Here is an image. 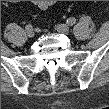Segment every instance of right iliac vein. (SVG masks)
I'll return each mask as SVG.
<instances>
[{
    "label": "right iliac vein",
    "instance_id": "1",
    "mask_svg": "<svg viewBox=\"0 0 109 109\" xmlns=\"http://www.w3.org/2000/svg\"><path fill=\"white\" fill-rule=\"evenodd\" d=\"M28 37L32 38L35 36V31L33 29L26 30Z\"/></svg>",
    "mask_w": 109,
    "mask_h": 109
}]
</instances>
